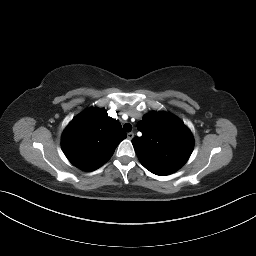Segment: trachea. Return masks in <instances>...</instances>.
<instances>
[{
    "label": "trachea",
    "mask_w": 256,
    "mask_h": 256,
    "mask_svg": "<svg viewBox=\"0 0 256 256\" xmlns=\"http://www.w3.org/2000/svg\"><path fill=\"white\" fill-rule=\"evenodd\" d=\"M123 129L126 132H130L132 130V125L129 123H126V124H124Z\"/></svg>",
    "instance_id": "obj_1"
}]
</instances>
